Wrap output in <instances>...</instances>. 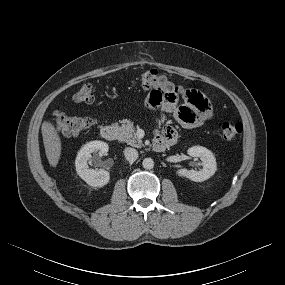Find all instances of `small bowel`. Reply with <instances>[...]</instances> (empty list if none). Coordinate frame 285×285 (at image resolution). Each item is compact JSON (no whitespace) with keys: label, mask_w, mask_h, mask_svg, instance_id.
<instances>
[{"label":"small bowel","mask_w":285,"mask_h":285,"mask_svg":"<svg viewBox=\"0 0 285 285\" xmlns=\"http://www.w3.org/2000/svg\"><path fill=\"white\" fill-rule=\"evenodd\" d=\"M146 104L152 109L171 113L187 129L202 126L213 116L210 101L196 89H187L183 96L164 88L152 90L147 95ZM156 138H164L172 144L177 138V132L171 126H164L157 130Z\"/></svg>","instance_id":"1"}]
</instances>
